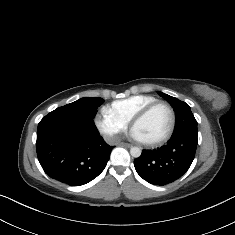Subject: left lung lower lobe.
<instances>
[{
    "mask_svg": "<svg viewBox=\"0 0 235 235\" xmlns=\"http://www.w3.org/2000/svg\"><path fill=\"white\" fill-rule=\"evenodd\" d=\"M197 148V135L172 136L157 150H143L134 160L137 173L147 182L164 185L179 179L189 169Z\"/></svg>",
    "mask_w": 235,
    "mask_h": 235,
    "instance_id": "left-lung-lower-lobe-1",
    "label": "left lung lower lobe"
}]
</instances>
